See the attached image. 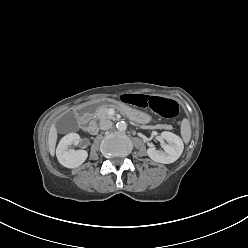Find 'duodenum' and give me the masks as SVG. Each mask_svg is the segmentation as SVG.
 Wrapping results in <instances>:
<instances>
[{"instance_id":"duodenum-1","label":"duodenum","mask_w":248,"mask_h":248,"mask_svg":"<svg viewBox=\"0 0 248 248\" xmlns=\"http://www.w3.org/2000/svg\"><path fill=\"white\" fill-rule=\"evenodd\" d=\"M88 104H84V105H82L81 107L78 108L77 117H78V119H79V121H80V123H81V125L83 127V130L86 133L94 134L98 130L97 124L95 122H88V119H89L91 114H86L84 112V107L86 105H88Z\"/></svg>"}]
</instances>
